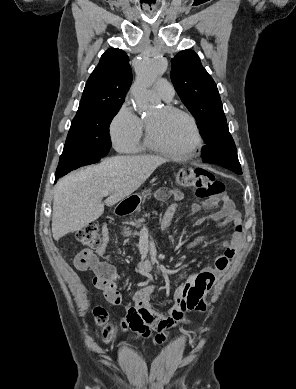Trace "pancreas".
Segmentation results:
<instances>
[{"mask_svg":"<svg viewBox=\"0 0 296 389\" xmlns=\"http://www.w3.org/2000/svg\"><path fill=\"white\" fill-rule=\"evenodd\" d=\"M144 216H145V217H149V214H145ZM143 222H144V218H141V219L135 220L134 222H131V225H132V226L139 227V226H141V224H142ZM124 233H126V230L124 231Z\"/></svg>","mask_w":296,"mask_h":389,"instance_id":"1","label":"pancreas"}]
</instances>
